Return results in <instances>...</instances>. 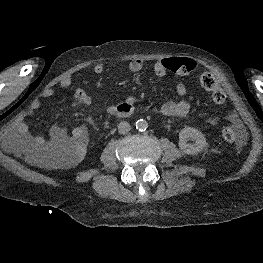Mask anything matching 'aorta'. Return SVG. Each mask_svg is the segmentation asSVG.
Masks as SVG:
<instances>
[{
  "instance_id": "aorta-1",
  "label": "aorta",
  "mask_w": 263,
  "mask_h": 263,
  "mask_svg": "<svg viewBox=\"0 0 263 263\" xmlns=\"http://www.w3.org/2000/svg\"><path fill=\"white\" fill-rule=\"evenodd\" d=\"M148 128V123L143 120V119H140L138 121H136L135 123V129L139 132H145Z\"/></svg>"
}]
</instances>
